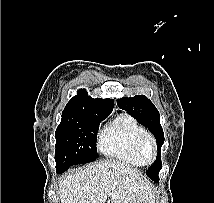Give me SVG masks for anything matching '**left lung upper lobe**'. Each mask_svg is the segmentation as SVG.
I'll use <instances>...</instances> for the list:
<instances>
[{
    "label": "left lung upper lobe",
    "instance_id": "1",
    "mask_svg": "<svg viewBox=\"0 0 214 203\" xmlns=\"http://www.w3.org/2000/svg\"><path fill=\"white\" fill-rule=\"evenodd\" d=\"M117 104L120 108L128 111L140 124L147 127L154 135L158 154L155 163L148 168L146 174L153 181H159L158 173L162 168L161 146L164 143V133L160 124V114L152 102L144 95L134 97H123L118 99Z\"/></svg>",
    "mask_w": 214,
    "mask_h": 203
}]
</instances>
